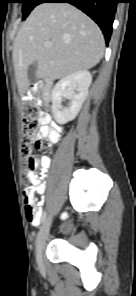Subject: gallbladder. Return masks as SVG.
<instances>
[{"label":"gallbladder","mask_w":136,"mask_h":296,"mask_svg":"<svg viewBox=\"0 0 136 296\" xmlns=\"http://www.w3.org/2000/svg\"><path fill=\"white\" fill-rule=\"evenodd\" d=\"M36 71H37V64L33 63L28 67L27 74H28V79L30 80L31 83L35 82L37 80L36 77Z\"/></svg>","instance_id":"1"}]
</instances>
